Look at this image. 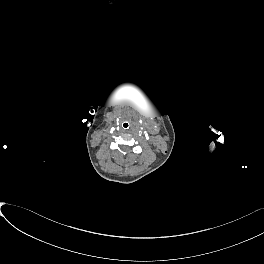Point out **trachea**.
Here are the masks:
<instances>
[{
  "label": "trachea",
  "mask_w": 264,
  "mask_h": 264,
  "mask_svg": "<svg viewBox=\"0 0 264 264\" xmlns=\"http://www.w3.org/2000/svg\"><path fill=\"white\" fill-rule=\"evenodd\" d=\"M129 127H130V124H129V122H127V121H125V122L122 124V128H123V129H129Z\"/></svg>",
  "instance_id": "obj_1"
}]
</instances>
